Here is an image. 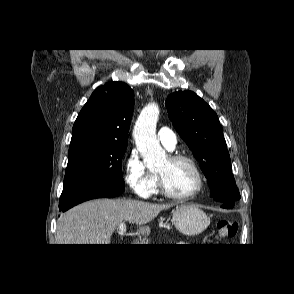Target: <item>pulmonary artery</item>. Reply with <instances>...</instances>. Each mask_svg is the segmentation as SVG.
I'll return each instance as SVG.
<instances>
[{"label":"pulmonary artery","instance_id":"1","mask_svg":"<svg viewBox=\"0 0 294 294\" xmlns=\"http://www.w3.org/2000/svg\"><path fill=\"white\" fill-rule=\"evenodd\" d=\"M158 139L167 150L172 151L175 149L177 143L176 137L169 128H160L158 131Z\"/></svg>","mask_w":294,"mask_h":294}]
</instances>
